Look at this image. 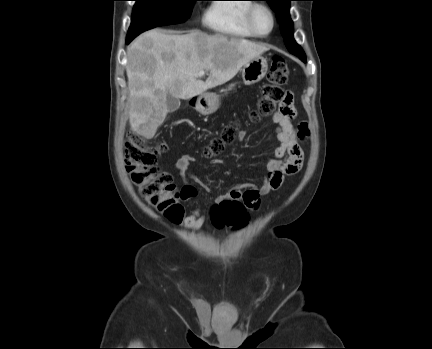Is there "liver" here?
<instances>
[{
    "instance_id": "6515ba94",
    "label": "liver",
    "mask_w": 432,
    "mask_h": 349,
    "mask_svg": "<svg viewBox=\"0 0 432 349\" xmlns=\"http://www.w3.org/2000/svg\"><path fill=\"white\" fill-rule=\"evenodd\" d=\"M269 47L199 30L168 34L154 29L127 49L131 130L151 139L168 113L167 95L190 99L231 80ZM209 71L204 82L198 73Z\"/></svg>"
}]
</instances>
